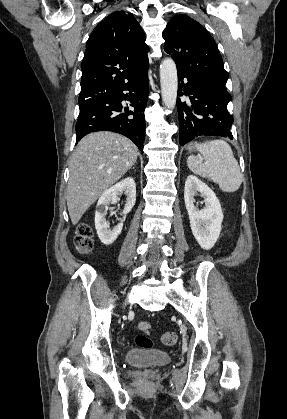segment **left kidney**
I'll use <instances>...</instances> for the list:
<instances>
[{"label":"left kidney","mask_w":287,"mask_h":419,"mask_svg":"<svg viewBox=\"0 0 287 419\" xmlns=\"http://www.w3.org/2000/svg\"><path fill=\"white\" fill-rule=\"evenodd\" d=\"M201 193L205 207L201 210L194 205V196ZM184 201L188 211L192 233L205 250L211 249L217 242L223 221V212L215 193L194 175H189L185 182Z\"/></svg>","instance_id":"left-kidney-1"}]
</instances>
